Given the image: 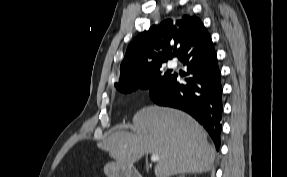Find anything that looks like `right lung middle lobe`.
<instances>
[{
  "instance_id": "obj_1",
  "label": "right lung middle lobe",
  "mask_w": 287,
  "mask_h": 177,
  "mask_svg": "<svg viewBox=\"0 0 287 177\" xmlns=\"http://www.w3.org/2000/svg\"><path fill=\"white\" fill-rule=\"evenodd\" d=\"M161 66L162 64H159L153 70L148 72L138 82L116 86V89L122 93H130L137 90L138 88L149 90L151 87H153L157 83L163 82L171 75L170 70H168L167 72H163Z\"/></svg>"
}]
</instances>
